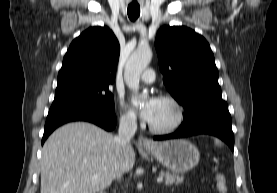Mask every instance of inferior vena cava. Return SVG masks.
Instances as JSON below:
<instances>
[{
	"label": "inferior vena cava",
	"mask_w": 277,
	"mask_h": 193,
	"mask_svg": "<svg viewBox=\"0 0 277 193\" xmlns=\"http://www.w3.org/2000/svg\"><path fill=\"white\" fill-rule=\"evenodd\" d=\"M137 130L136 117L133 115L122 116L120 118L118 135L115 137L116 142L125 151L129 145L130 140ZM121 179V176L118 177Z\"/></svg>",
	"instance_id": "602c4592"
}]
</instances>
